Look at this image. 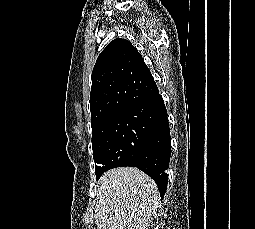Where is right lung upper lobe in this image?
Here are the masks:
<instances>
[{
	"instance_id": "1",
	"label": "right lung upper lobe",
	"mask_w": 255,
	"mask_h": 229,
	"mask_svg": "<svg viewBox=\"0 0 255 229\" xmlns=\"http://www.w3.org/2000/svg\"><path fill=\"white\" fill-rule=\"evenodd\" d=\"M156 83L141 54L126 39L111 41L97 58L90 93L91 127L151 96Z\"/></svg>"
}]
</instances>
